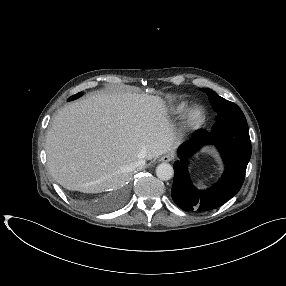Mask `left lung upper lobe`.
Instances as JSON below:
<instances>
[{
	"label": "left lung upper lobe",
	"instance_id": "left-lung-upper-lobe-1",
	"mask_svg": "<svg viewBox=\"0 0 286 286\" xmlns=\"http://www.w3.org/2000/svg\"><path fill=\"white\" fill-rule=\"evenodd\" d=\"M200 90L206 92L214 111L218 113L216 117V122L231 119L246 121L242 110L236 104L220 97L211 89L203 88Z\"/></svg>",
	"mask_w": 286,
	"mask_h": 286
}]
</instances>
